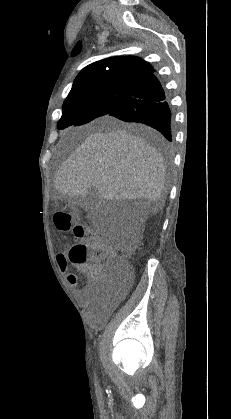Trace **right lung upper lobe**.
Returning a JSON list of instances; mask_svg holds the SVG:
<instances>
[{"instance_id":"cb5924a9","label":"right lung upper lobe","mask_w":231,"mask_h":419,"mask_svg":"<svg viewBox=\"0 0 231 419\" xmlns=\"http://www.w3.org/2000/svg\"><path fill=\"white\" fill-rule=\"evenodd\" d=\"M153 71V67L139 57H110L86 66L76 77L70 93L103 85L135 86Z\"/></svg>"}]
</instances>
